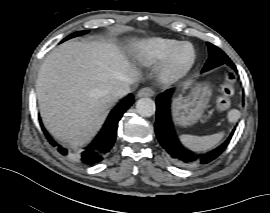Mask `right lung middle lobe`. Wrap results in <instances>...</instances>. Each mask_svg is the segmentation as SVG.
<instances>
[{
    "mask_svg": "<svg viewBox=\"0 0 270 213\" xmlns=\"http://www.w3.org/2000/svg\"><path fill=\"white\" fill-rule=\"evenodd\" d=\"M86 33H88V31H79V32H75V33H73V34L67 36L63 41H66V40H68V39H70V38H73V37H76V36H79V35H83V34H86ZM63 41H62V42H63Z\"/></svg>",
    "mask_w": 270,
    "mask_h": 213,
    "instance_id": "right-lung-middle-lobe-1",
    "label": "right lung middle lobe"
}]
</instances>
